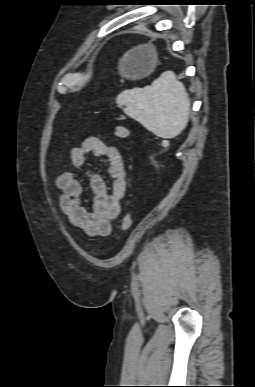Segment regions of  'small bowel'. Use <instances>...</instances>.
I'll return each instance as SVG.
<instances>
[{
	"mask_svg": "<svg viewBox=\"0 0 255 387\" xmlns=\"http://www.w3.org/2000/svg\"><path fill=\"white\" fill-rule=\"evenodd\" d=\"M89 155L105 160L111 187H107L99 174L89 173L91 201L90 206L85 207L81 201V182L70 172L61 173L56 178V186L61 192L59 205L73 227L89 237H104L110 234L112 221L121 212L127 169L119 150L97 137L86 138L70 151L71 162L79 169L84 167Z\"/></svg>",
	"mask_w": 255,
	"mask_h": 387,
	"instance_id": "c3829d8e",
	"label": "small bowel"
}]
</instances>
